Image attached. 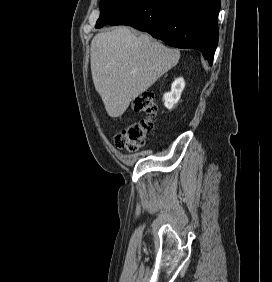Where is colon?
<instances>
[{"instance_id": "colon-1", "label": "colon", "mask_w": 272, "mask_h": 282, "mask_svg": "<svg viewBox=\"0 0 272 282\" xmlns=\"http://www.w3.org/2000/svg\"><path fill=\"white\" fill-rule=\"evenodd\" d=\"M132 108L135 112L146 114L147 117L131 122L114 137L115 146L130 153L141 149L154 130V116L157 111L154 94L147 92L140 95L133 101Z\"/></svg>"}]
</instances>
